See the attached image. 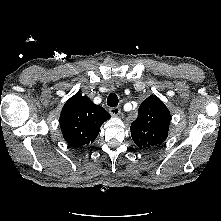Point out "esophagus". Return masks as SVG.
<instances>
[{
  "label": "esophagus",
  "instance_id": "34e87169",
  "mask_svg": "<svg viewBox=\"0 0 221 221\" xmlns=\"http://www.w3.org/2000/svg\"><path fill=\"white\" fill-rule=\"evenodd\" d=\"M109 112L112 116H119L121 114V110L118 107H112L109 109Z\"/></svg>",
  "mask_w": 221,
  "mask_h": 221
}]
</instances>
